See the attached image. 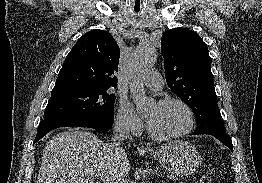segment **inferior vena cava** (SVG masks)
<instances>
[{
    "mask_svg": "<svg viewBox=\"0 0 262 183\" xmlns=\"http://www.w3.org/2000/svg\"><path fill=\"white\" fill-rule=\"evenodd\" d=\"M132 140L130 135V124L127 120H118L114 126V141Z\"/></svg>",
    "mask_w": 262,
    "mask_h": 183,
    "instance_id": "obj_1",
    "label": "inferior vena cava"
}]
</instances>
